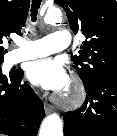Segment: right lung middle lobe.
Here are the masks:
<instances>
[{
	"label": "right lung middle lobe",
	"mask_w": 117,
	"mask_h": 136,
	"mask_svg": "<svg viewBox=\"0 0 117 136\" xmlns=\"http://www.w3.org/2000/svg\"><path fill=\"white\" fill-rule=\"evenodd\" d=\"M4 59H0V65L1 63L3 62ZM2 75V71H1V68H0V76Z\"/></svg>",
	"instance_id": "right-lung-middle-lobe-1"
}]
</instances>
